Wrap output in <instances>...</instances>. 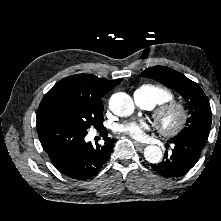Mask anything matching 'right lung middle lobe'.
<instances>
[{"instance_id": "dd1d6c3e", "label": "right lung middle lobe", "mask_w": 221, "mask_h": 221, "mask_svg": "<svg viewBox=\"0 0 221 221\" xmlns=\"http://www.w3.org/2000/svg\"><path fill=\"white\" fill-rule=\"evenodd\" d=\"M46 119H52L82 132L90 127L103 126V105L89 102H67L60 104L44 114Z\"/></svg>"}]
</instances>
